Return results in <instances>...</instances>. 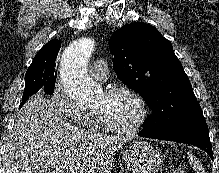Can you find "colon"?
Masks as SVG:
<instances>
[{
    "label": "colon",
    "mask_w": 219,
    "mask_h": 173,
    "mask_svg": "<svg viewBox=\"0 0 219 173\" xmlns=\"http://www.w3.org/2000/svg\"><path fill=\"white\" fill-rule=\"evenodd\" d=\"M170 173H186L182 168L172 169Z\"/></svg>",
    "instance_id": "1"
}]
</instances>
